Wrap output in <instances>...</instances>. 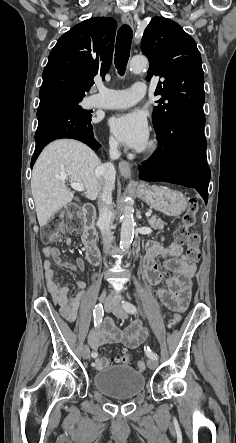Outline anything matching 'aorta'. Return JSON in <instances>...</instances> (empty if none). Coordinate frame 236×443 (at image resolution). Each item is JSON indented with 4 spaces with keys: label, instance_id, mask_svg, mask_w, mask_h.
Segmentation results:
<instances>
[{
    "label": "aorta",
    "instance_id": "762f6f07",
    "mask_svg": "<svg viewBox=\"0 0 236 443\" xmlns=\"http://www.w3.org/2000/svg\"><path fill=\"white\" fill-rule=\"evenodd\" d=\"M148 64V60L144 56H135L130 61V69L134 73L142 72ZM134 217L133 210L129 202H126L122 215V226L120 233V246L123 249H128L131 245L134 236Z\"/></svg>",
    "mask_w": 236,
    "mask_h": 443
}]
</instances>
